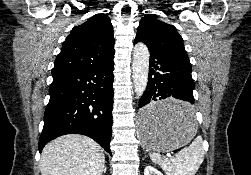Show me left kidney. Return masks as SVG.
I'll return each mask as SVG.
<instances>
[{"label": "left kidney", "mask_w": 251, "mask_h": 175, "mask_svg": "<svg viewBox=\"0 0 251 175\" xmlns=\"http://www.w3.org/2000/svg\"><path fill=\"white\" fill-rule=\"evenodd\" d=\"M144 175H163V173L155 169V167H152V165H147L144 169Z\"/></svg>", "instance_id": "5707ae66"}]
</instances>
